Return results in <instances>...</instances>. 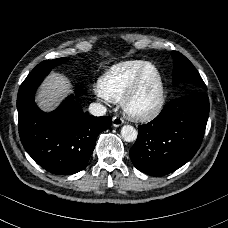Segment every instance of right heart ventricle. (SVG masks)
<instances>
[{
    "label": "right heart ventricle",
    "mask_w": 228,
    "mask_h": 228,
    "mask_svg": "<svg viewBox=\"0 0 228 228\" xmlns=\"http://www.w3.org/2000/svg\"><path fill=\"white\" fill-rule=\"evenodd\" d=\"M150 62L144 60H126L113 64L100 78V95L111 102L121 101L130 90L139 73Z\"/></svg>",
    "instance_id": "right-heart-ventricle-1"
}]
</instances>
